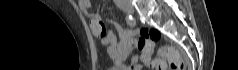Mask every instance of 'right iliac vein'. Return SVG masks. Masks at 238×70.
<instances>
[{"label": "right iliac vein", "mask_w": 238, "mask_h": 70, "mask_svg": "<svg viewBox=\"0 0 238 70\" xmlns=\"http://www.w3.org/2000/svg\"><path fill=\"white\" fill-rule=\"evenodd\" d=\"M122 9L124 11H127V12H132L133 11V8L131 6H129V5L122 6Z\"/></svg>", "instance_id": "obj_1"}]
</instances>
